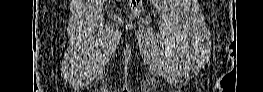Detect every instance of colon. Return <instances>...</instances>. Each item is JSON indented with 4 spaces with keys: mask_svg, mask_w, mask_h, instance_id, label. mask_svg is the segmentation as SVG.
Wrapping results in <instances>:
<instances>
[{
    "mask_svg": "<svg viewBox=\"0 0 263 92\" xmlns=\"http://www.w3.org/2000/svg\"><path fill=\"white\" fill-rule=\"evenodd\" d=\"M129 6L134 14H140L143 10L142 0H130Z\"/></svg>",
    "mask_w": 263,
    "mask_h": 92,
    "instance_id": "1",
    "label": "colon"
}]
</instances>
